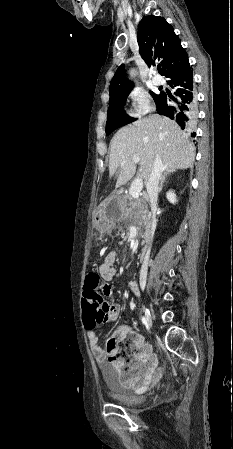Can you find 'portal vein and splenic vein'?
<instances>
[{
    "label": "portal vein and splenic vein",
    "mask_w": 233,
    "mask_h": 449,
    "mask_svg": "<svg viewBox=\"0 0 233 449\" xmlns=\"http://www.w3.org/2000/svg\"><path fill=\"white\" fill-rule=\"evenodd\" d=\"M132 159L135 163L140 162V158L137 155H134ZM142 188H143V181L141 178H137L132 182L129 189V193L133 198L138 199L141 194Z\"/></svg>",
    "instance_id": "portal-vein-and-splenic-vein-1"
}]
</instances>
